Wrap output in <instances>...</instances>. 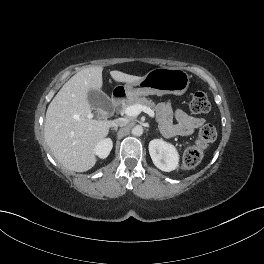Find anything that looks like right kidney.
Masks as SVG:
<instances>
[{
	"instance_id": "obj_1",
	"label": "right kidney",
	"mask_w": 264,
	"mask_h": 264,
	"mask_svg": "<svg viewBox=\"0 0 264 264\" xmlns=\"http://www.w3.org/2000/svg\"><path fill=\"white\" fill-rule=\"evenodd\" d=\"M112 147H113V143H112L111 139H109V138L103 139L99 143H97V145L95 147V154L99 158L104 159L109 155Z\"/></svg>"
}]
</instances>
